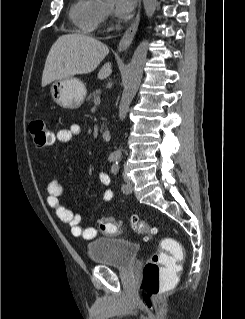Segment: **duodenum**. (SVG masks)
<instances>
[{"label": "duodenum", "mask_w": 245, "mask_h": 319, "mask_svg": "<svg viewBox=\"0 0 245 319\" xmlns=\"http://www.w3.org/2000/svg\"><path fill=\"white\" fill-rule=\"evenodd\" d=\"M102 138L104 141L108 142L111 139V131L109 129H105L102 132Z\"/></svg>", "instance_id": "duodenum-1"}]
</instances>
